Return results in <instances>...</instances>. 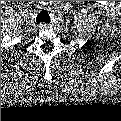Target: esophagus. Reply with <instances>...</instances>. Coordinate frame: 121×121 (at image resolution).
I'll return each mask as SVG.
<instances>
[{
    "label": "esophagus",
    "instance_id": "obj_1",
    "mask_svg": "<svg viewBox=\"0 0 121 121\" xmlns=\"http://www.w3.org/2000/svg\"><path fill=\"white\" fill-rule=\"evenodd\" d=\"M49 27H50V25L48 23H45V22L40 25L41 29H48Z\"/></svg>",
    "mask_w": 121,
    "mask_h": 121
}]
</instances>
